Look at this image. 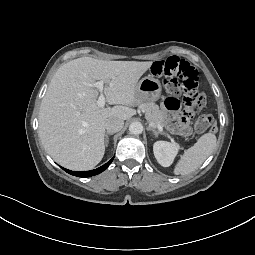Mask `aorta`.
Masks as SVG:
<instances>
[{
    "label": "aorta",
    "mask_w": 255,
    "mask_h": 255,
    "mask_svg": "<svg viewBox=\"0 0 255 255\" xmlns=\"http://www.w3.org/2000/svg\"><path fill=\"white\" fill-rule=\"evenodd\" d=\"M129 131L131 134L139 135L143 131V126L140 122H132L129 126Z\"/></svg>",
    "instance_id": "762f6f07"
}]
</instances>
